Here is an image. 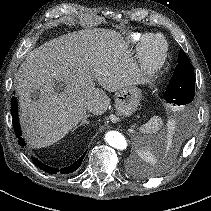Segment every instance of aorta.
<instances>
[{
    "mask_svg": "<svg viewBox=\"0 0 211 211\" xmlns=\"http://www.w3.org/2000/svg\"><path fill=\"white\" fill-rule=\"evenodd\" d=\"M105 140L110 146L118 150H124L127 147V140L118 131H108L105 134Z\"/></svg>",
    "mask_w": 211,
    "mask_h": 211,
    "instance_id": "obj_1",
    "label": "aorta"
}]
</instances>
